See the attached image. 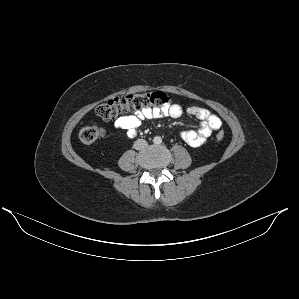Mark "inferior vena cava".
Here are the masks:
<instances>
[{"mask_svg": "<svg viewBox=\"0 0 299 299\" xmlns=\"http://www.w3.org/2000/svg\"><path fill=\"white\" fill-rule=\"evenodd\" d=\"M148 146V143L146 140L144 139H138L134 142V145L133 147L136 149V150H143L145 149L146 147Z\"/></svg>", "mask_w": 299, "mask_h": 299, "instance_id": "inferior-vena-cava-1", "label": "inferior vena cava"}]
</instances>
